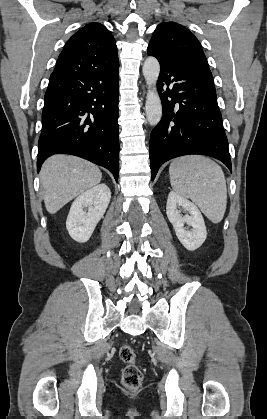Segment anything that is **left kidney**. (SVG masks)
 <instances>
[{
	"label": "left kidney",
	"mask_w": 267,
	"mask_h": 419,
	"mask_svg": "<svg viewBox=\"0 0 267 419\" xmlns=\"http://www.w3.org/2000/svg\"><path fill=\"white\" fill-rule=\"evenodd\" d=\"M178 206L188 211L190 215L182 216L181 212L177 210ZM166 214L173 225L177 238L187 250L194 251L204 243L207 231L203 216L194 203L175 192H170L167 199ZM184 224L192 228L186 230Z\"/></svg>",
	"instance_id": "1"
}]
</instances>
